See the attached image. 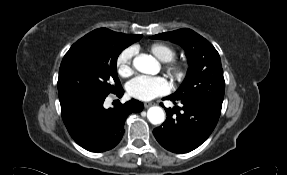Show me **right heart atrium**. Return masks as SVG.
Returning a JSON list of instances; mask_svg holds the SVG:
<instances>
[{"mask_svg": "<svg viewBox=\"0 0 287 175\" xmlns=\"http://www.w3.org/2000/svg\"><path fill=\"white\" fill-rule=\"evenodd\" d=\"M135 54L134 47H127L123 49L116 57L115 66L117 73L122 78H127L132 75L133 68V56Z\"/></svg>", "mask_w": 287, "mask_h": 175, "instance_id": "right-heart-atrium-1", "label": "right heart atrium"}]
</instances>
